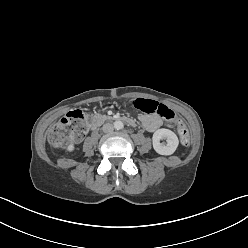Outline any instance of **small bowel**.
Instances as JSON below:
<instances>
[{
	"label": "small bowel",
	"instance_id": "1",
	"mask_svg": "<svg viewBox=\"0 0 248 248\" xmlns=\"http://www.w3.org/2000/svg\"><path fill=\"white\" fill-rule=\"evenodd\" d=\"M139 119L149 132H154L162 126V120L156 114H141Z\"/></svg>",
	"mask_w": 248,
	"mask_h": 248
}]
</instances>
